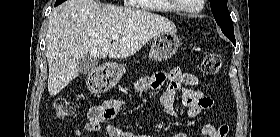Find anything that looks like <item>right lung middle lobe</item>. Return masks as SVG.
Wrapping results in <instances>:
<instances>
[{
	"mask_svg": "<svg viewBox=\"0 0 280 137\" xmlns=\"http://www.w3.org/2000/svg\"><path fill=\"white\" fill-rule=\"evenodd\" d=\"M65 0H56L55 6L61 4L62 2H64Z\"/></svg>",
	"mask_w": 280,
	"mask_h": 137,
	"instance_id": "right-lung-middle-lobe-1",
	"label": "right lung middle lobe"
}]
</instances>
